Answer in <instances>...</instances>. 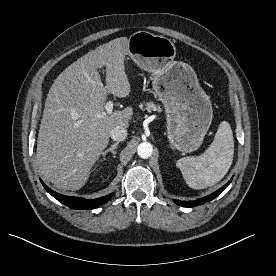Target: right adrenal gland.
Masks as SVG:
<instances>
[{
    "label": "right adrenal gland",
    "mask_w": 276,
    "mask_h": 276,
    "mask_svg": "<svg viewBox=\"0 0 276 276\" xmlns=\"http://www.w3.org/2000/svg\"><path fill=\"white\" fill-rule=\"evenodd\" d=\"M118 144H119V142H116V143L112 144L110 148L106 149V150L102 153L103 159H105V156H106L109 152H111V153L113 154V157H115V155H116L115 149H117Z\"/></svg>",
    "instance_id": "1"
}]
</instances>
